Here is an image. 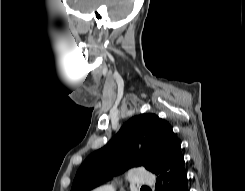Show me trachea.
Wrapping results in <instances>:
<instances>
[{"instance_id": "trachea-1", "label": "trachea", "mask_w": 245, "mask_h": 191, "mask_svg": "<svg viewBox=\"0 0 245 191\" xmlns=\"http://www.w3.org/2000/svg\"><path fill=\"white\" fill-rule=\"evenodd\" d=\"M145 188H147V187H145V186L142 187V189H145Z\"/></svg>"}]
</instances>
